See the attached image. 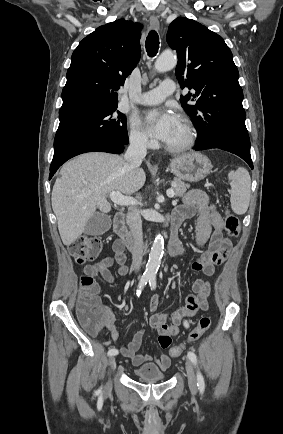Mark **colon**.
Listing matches in <instances>:
<instances>
[{
  "label": "colon",
  "instance_id": "5ec220e1",
  "mask_svg": "<svg viewBox=\"0 0 283 434\" xmlns=\"http://www.w3.org/2000/svg\"><path fill=\"white\" fill-rule=\"evenodd\" d=\"M225 231L236 237L240 233V221L236 215L226 212ZM102 248V240L96 236H82L71 245V254L79 264L94 261ZM99 285L95 278L84 274L80 278V297L77 303V314L80 323L90 332L97 333L102 329L103 312L99 299ZM208 316H202L197 326L189 333L186 343L198 340L210 327ZM185 344L175 345L170 349L172 357H178L184 351Z\"/></svg>",
  "mask_w": 283,
  "mask_h": 434
}]
</instances>
